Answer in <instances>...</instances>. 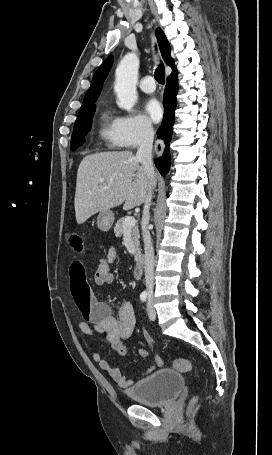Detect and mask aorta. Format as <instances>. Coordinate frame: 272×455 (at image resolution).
I'll use <instances>...</instances> for the list:
<instances>
[{"label":"aorta","instance_id":"obj_1","mask_svg":"<svg viewBox=\"0 0 272 455\" xmlns=\"http://www.w3.org/2000/svg\"><path fill=\"white\" fill-rule=\"evenodd\" d=\"M139 59L135 53L126 54L116 69L114 91L118 98V106L131 112L137 101L136 83Z\"/></svg>","mask_w":272,"mask_h":455}]
</instances>
